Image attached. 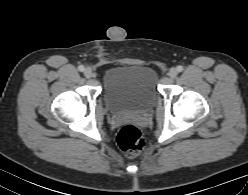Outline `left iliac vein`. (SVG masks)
<instances>
[{
    "instance_id": "left-iliac-vein-1",
    "label": "left iliac vein",
    "mask_w": 248,
    "mask_h": 195,
    "mask_svg": "<svg viewBox=\"0 0 248 195\" xmlns=\"http://www.w3.org/2000/svg\"><path fill=\"white\" fill-rule=\"evenodd\" d=\"M168 75L170 78H175L178 75V70L176 68H171Z\"/></svg>"
}]
</instances>
